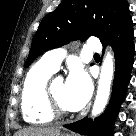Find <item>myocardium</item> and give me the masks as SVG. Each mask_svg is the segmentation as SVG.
Listing matches in <instances>:
<instances>
[{
	"label": "myocardium",
	"mask_w": 136,
	"mask_h": 136,
	"mask_svg": "<svg viewBox=\"0 0 136 136\" xmlns=\"http://www.w3.org/2000/svg\"><path fill=\"white\" fill-rule=\"evenodd\" d=\"M52 80L48 81L46 88H45V97L46 103L48 106L49 111L53 116L64 117L67 116L70 112L69 110L64 109L59 102L57 101L56 97L54 96L52 85Z\"/></svg>",
	"instance_id": "f54148a6"
}]
</instances>
